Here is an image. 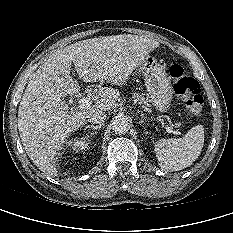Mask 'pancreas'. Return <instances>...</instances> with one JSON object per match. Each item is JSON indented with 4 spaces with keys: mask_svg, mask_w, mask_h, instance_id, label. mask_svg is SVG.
Masks as SVG:
<instances>
[{
    "mask_svg": "<svg viewBox=\"0 0 233 233\" xmlns=\"http://www.w3.org/2000/svg\"><path fill=\"white\" fill-rule=\"evenodd\" d=\"M134 98L138 99V101H139L140 104L146 105V107H148V108L150 107L148 101L145 98H143L141 95L134 94Z\"/></svg>",
    "mask_w": 233,
    "mask_h": 233,
    "instance_id": "pancreas-1",
    "label": "pancreas"
}]
</instances>
